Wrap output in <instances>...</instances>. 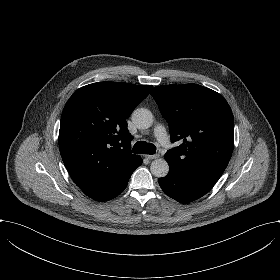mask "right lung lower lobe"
Returning <instances> with one entry per match:
<instances>
[{
    "mask_svg": "<svg viewBox=\"0 0 280 280\" xmlns=\"http://www.w3.org/2000/svg\"><path fill=\"white\" fill-rule=\"evenodd\" d=\"M128 180H129V179H128ZM128 180H127V181L123 184V186L118 190L116 196L119 195V194L126 188L127 183H128ZM116 196H115V197H116Z\"/></svg>",
    "mask_w": 280,
    "mask_h": 280,
    "instance_id": "98d812e1",
    "label": "right lung lower lobe"
}]
</instances>
